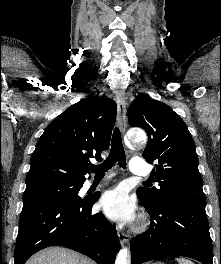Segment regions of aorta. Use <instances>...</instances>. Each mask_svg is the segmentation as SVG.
I'll list each match as a JSON object with an SVG mask.
<instances>
[{
    "label": "aorta",
    "instance_id": "aorta-1",
    "mask_svg": "<svg viewBox=\"0 0 221 264\" xmlns=\"http://www.w3.org/2000/svg\"><path fill=\"white\" fill-rule=\"evenodd\" d=\"M129 139L135 144H144L146 137L142 134L130 135ZM115 264H131V255L126 249L118 253Z\"/></svg>",
    "mask_w": 221,
    "mask_h": 264
}]
</instances>
